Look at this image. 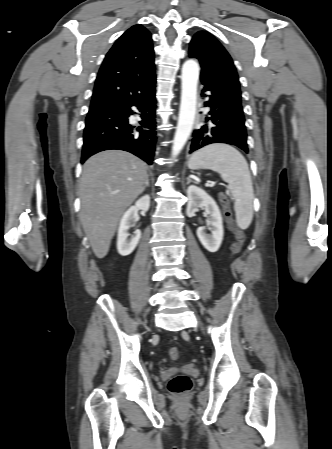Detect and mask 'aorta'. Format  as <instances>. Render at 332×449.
Instances as JSON below:
<instances>
[{
  "label": "aorta",
  "mask_w": 332,
  "mask_h": 449,
  "mask_svg": "<svg viewBox=\"0 0 332 449\" xmlns=\"http://www.w3.org/2000/svg\"><path fill=\"white\" fill-rule=\"evenodd\" d=\"M199 71V65L194 60H188L183 64L181 74V104L172 146L173 158L181 152L193 128L196 114Z\"/></svg>",
  "instance_id": "762f6f07"
}]
</instances>
